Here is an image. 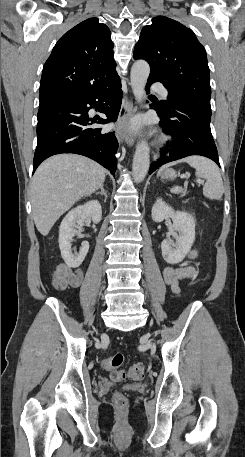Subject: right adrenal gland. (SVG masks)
I'll use <instances>...</instances> for the list:
<instances>
[{
	"label": "right adrenal gland",
	"mask_w": 245,
	"mask_h": 457,
	"mask_svg": "<svg viewBox=\"0 0 245 457\" xmlns=\"http://www.w3.org/2000/svg\"><path fill=\"white\" fill-rule=\"evenodd\" d=\"M100 188H101L100 192H96V194H104V196H105L104 202H106V198H107L108 194H107L103 184H102V186H100Z\"/></svg>",
	"instance_id": "obj_1"
}]
</instances>
